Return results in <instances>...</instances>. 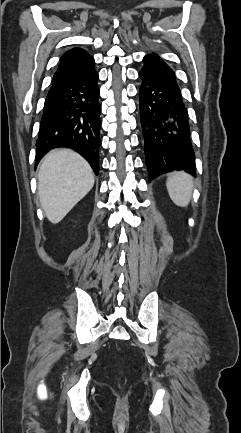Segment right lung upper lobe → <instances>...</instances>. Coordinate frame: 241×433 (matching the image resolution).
I'll return each mask as SVG.
<instances>
[{"mask_svg":"<svg viewBox=\"0 0 241 433\" xmlns=\"http://www.w3.org/2000/svg\"><path fill=\"white\" fill-rule=\"evenodd\" d=\"M91 63H94V58L85 50L75 47L64 53L60 58V64L54 74L53 81L61 79Z\"/></svg>","mask_w":241,"mask_h":433,"instance_id":"obj_1","label":"right lung upper lobe"}]
</instances>
